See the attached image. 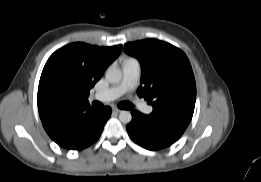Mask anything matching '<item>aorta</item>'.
Listing matches in <instances>:
<instances>
[{
	"mask_svg": "<svg viewBox=\"0 0 261 182\" xmlns=\"http://www.w3.org/2000/svg\"><path fill=\"white\" fill-rule=\"evenodd\" d=\"M105 78L109 83L116 84L122 79V72L117 68H110L105 74ZM132 119V115L129 111H121L119 114V120L123 124H128Z\"/></svg>",
	"mask_w": 261,
	"mask_h": 182,
	"instance_id": "762f6f07",
	"label": "aorta"
}]
</instances>
